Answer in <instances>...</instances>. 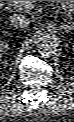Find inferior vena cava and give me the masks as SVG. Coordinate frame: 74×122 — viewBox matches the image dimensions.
I'll return each instance as SVG.
<instances>
[{"label":"inferior vena cava","instance_id":"1","mask_svg":"<svg viewBox=\"0 0 74 122\" xmlns=\"http://www.w3.org/2000/svg\"><path fill=\"white\" fill-rule=\"evenodd\" d=\"M9 20L11 25L16 28H25L30 24L29 17L22 14H13Z\"/></svg>","mask_w":74,"mask_h":122}]
</instances>
